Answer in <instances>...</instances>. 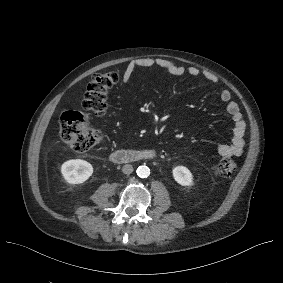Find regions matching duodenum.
Segmentation results:
<instances>
[{
  "instance_id": "1",
  "label": "duodenum",
  "mask_w": 283,
  "mask_h": 283,
  "mask_svg": "<svg viewBox=\"0 0 283 283\" xmlns=\"http://www.w3.org/2000/svg\"><path fill=\"white\" fill-rule=\"evenodd\" d=\"M157 156L152 149L117 150L110 154L109 159L116 164L153 160Z\"/></svg>"
}]
</instances>
